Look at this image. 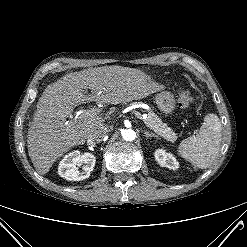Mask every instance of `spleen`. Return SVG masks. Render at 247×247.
Instances as JSON below:
<instances>
[{
	"instance_id": "3e777b00",
	"label": "spleen",
	"mask_w": 247,
	"mask_h": 247,
	"mask_svg": "<svg viewBox=\"0 0 247 247\" xmlns=\"http://www.w3.org/2000/svg\"><path fill=\"white\" fill-rule=\"evenodd\" d=\"M222 137V127L216 114H207L199 133L183 140L178 153L194 166L208 168L218 154Z\"/></svg>"
}]
</instances>
